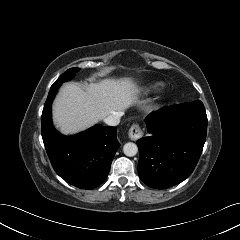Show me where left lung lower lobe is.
<instances>
[{"instance_id":"left-lung-lower-lobe-1","label":"left lung lower lobe","mask_w":240,"mask_h":240,"mask_svg":"<svg viewBox=\"0 0 240 240\" xmlns=\"http://www.w3.org/2000/svg\"><path fill=\"white\" fill-rule=\"evenodd\" d=\"M145 122L150 135L137 141L140 179L155 189L181 183L193 172L206 140L203 103L164 107L148 115Z\"/></svg>"}]
</instances>
